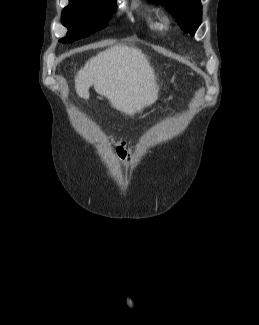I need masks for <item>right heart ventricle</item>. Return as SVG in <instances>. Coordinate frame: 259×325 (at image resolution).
<instances>
[{"label": "right heart ventricle", "instance_id": "e07e8e85", "mask_svg": "<svg viewBox=\"0 0 259 325\" xmlns=\"http://www.w3.org/2000/svg\"><path fill=\"white\" fill-rule=\"evenodd\" d=\"M136 7L140 8L142 16L151 29L159 30L162 28L158 11L156 9L149 6H144L141 2H137Z\"/></svg>", "mask_w": 259, "mask_h": 325}]
</instances>
